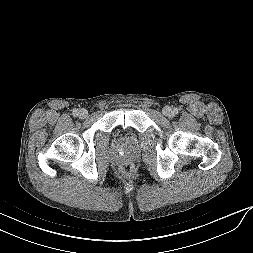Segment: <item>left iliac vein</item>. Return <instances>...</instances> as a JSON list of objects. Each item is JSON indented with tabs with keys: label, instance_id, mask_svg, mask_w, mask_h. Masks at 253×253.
Wrapping results in <instances>:
<instances>
[{
	"label": "left iliac vein",
	"instance_id": "left-iliac-vein-1",
	"mask_svg": "<svg viewBox=\"0 0 253 253\" xmlns=\"http://www.w3.org/2000/svg\"><path fill=\"white\" fill-rule=\"evenodd\" d=\"M162 112L165 116L170 117L172 114V109L169 106H165Z\"/></svg>",
	"mask_w": 253,
	"mask_h": 253
}]
</instances>
